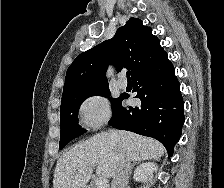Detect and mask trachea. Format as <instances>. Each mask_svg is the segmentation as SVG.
<instances>
[{
    "label": "trachea",
    "mask_w": 224,
    "mask_h": 188,
    "mask_svg": "<svg viewBox=\"0 0 224 188\" xmlns=\"http://www.w3.org/2000/svg\"><path fill=\"white\" fill-rule=\"evenodd\" d=\"M130 76H131V72H130V71H127V79H128V80H130V79H131V77H130Z\"/></svg>",
    "instance_id": "3493384b"
}]
</instances>
